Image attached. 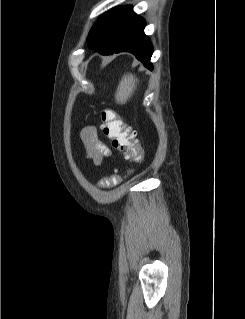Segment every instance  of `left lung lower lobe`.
Instances as JSON below:
<instances>
[{
  "label": "left lung lower lobe",
  "mask_w": 245,
  "mask_h": 319,
  "mask_svg": "<svg viewBox=\"0 0 245 319\" xmlns=\"http://www.w3.org/2000/svg\"><path fill=\"white\" fill-rule=\"evenodd\" d=\"M145 21L136 14L127 24L115 44L106 48H95L101 54L108 55L113 52H131L139 59L147 68L153 69L150 58L152 56V44L149 38L144 34Z\"/></svg>",
  "instance_id": "0a47b994"
}]
</instances>
